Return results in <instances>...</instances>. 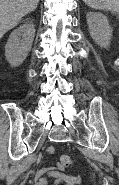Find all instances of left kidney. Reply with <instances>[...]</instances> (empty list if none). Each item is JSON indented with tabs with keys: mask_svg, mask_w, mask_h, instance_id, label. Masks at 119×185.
I'll list each match as a JSON object with an SVG mask.
<instances>
[{
	"mask_svg": "<svg viewBox=\"0 0 119 185\" xmlns=\"http://www.w3.org/2000/svg\"><path fill=\"white\" fill-rule=\"evenodd\" d=\"M86 19L92 39L100 47L107 48L112 37V28L108 18L99 12H88Z\"/></svg>",
	"mask_w": 119,
	"mask_h": 185,
	"instance_id": "left-kidney-1",
	"label": "left kidney"
}]
</instances>
